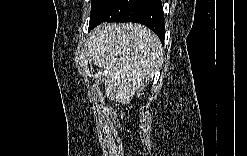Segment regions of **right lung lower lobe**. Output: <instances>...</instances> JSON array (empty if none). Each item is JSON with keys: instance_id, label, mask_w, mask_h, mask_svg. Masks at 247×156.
<instances>
[{"instance_id": "right-lung-lower-lobe-1", "label": "right lung lower lobe", "mask_w": 247, "mask_h": 156, "mask_svg": "<svg viewBox=\"0 0 247 156\" xmlns=\"http://www.w3.org/2000/svg\"><path fill=\"white\" fill-rule=\"evenodd\" d=\"M102 22H136L146 25L165 37L164 13L161 0H111L98 17L89 24V31Z\"/></svg>"}]
</instances>
